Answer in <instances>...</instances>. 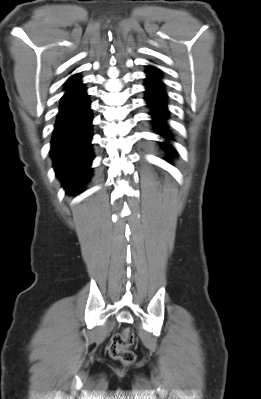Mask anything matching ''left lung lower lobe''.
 Returning a JSON list of instances; mask_svg holds the SVG:
<instances>
[{"label":"left lung lower lobe","instance_id":"obj_1","mask_svg":"<svg viewBox=\"0 0 261 399\" xmlns=\"http://www.w3.org/2000/svg\"><path fill=\"white\" fill-rule=\"evenodd\" d=\"M147 79H146V101L148 105L152 108L151 115L157 120H154V124L159 128H162L163 131H160L159 134L166 139H171L169 133H167V125L165 120L167 118V104L165 102L166 94L164 93V89L160 84V75L153 68L149 67L146 71ZM163 149L167 151L169 154L175 153L174 148L171 145H167L166 143H162Z\"/></svg>","mask_w":261,"mask_h":399}]
</instances>
